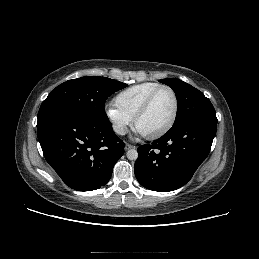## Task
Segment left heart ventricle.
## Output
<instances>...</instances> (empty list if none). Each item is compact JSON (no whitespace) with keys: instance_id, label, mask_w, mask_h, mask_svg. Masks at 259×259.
Masks as SVG:
<instances>
[{"instance_id":"1","label":"left heart ventricle","mask_w":259,"mask_h":259,"mask_svg":"<svg viewBox=\"0 0 259 259\" xmlns=\"http://www.w3.org/2000/svg\"><path fill=\"white\" fill-rule=\"evenodd\" d=\"M174 99L169 90H161L154 98L148 112L138 121L136 129L144 135L161 130L171 119Z\"/></svg>"}]
</instances>
